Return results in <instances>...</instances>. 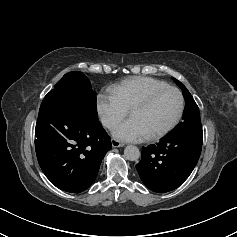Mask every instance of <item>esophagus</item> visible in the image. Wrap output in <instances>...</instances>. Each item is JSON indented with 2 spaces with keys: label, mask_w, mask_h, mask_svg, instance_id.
I'll return each mask as SVG.
<instances>
[{
  "label": "esophagus",
  "mask_w": 237,
  "mask_h": 237,
  "mask_svg": "<svg viewBox=\"0 0 237 237\" xmlns=\"http://www.w3.org/2000/svg\"><path fill=\"white\" fill-rule=\"evenodd\" d=\"M111 143H112V146L115 147V148H118V147H123L124 146V143L116 140V139H112L111 140Z\"/></svg>",
  "instance_id": "obj_1"
}]
</instances>
